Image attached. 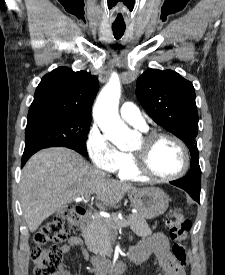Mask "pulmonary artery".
I'll return each instance as SVG.
<instances>
[{
  "instance_id": "1",
  "label": "pulmonary artery",
  "mask_w": 225,
  "mask_h": 275,
  "mask_svg": "<svg viewBox=\"0 0 225 275\" xmlns=\"http://www.w3.org/2000/svg\"><path fill=\"white\" fill-rule=\"evenodd\" d=\"M120 115L126 122L130 123L131 125L141 129L146 128L145 120L133 102L127 101L123 103L120 108Z\"/></svg>"
}]
</instances>
